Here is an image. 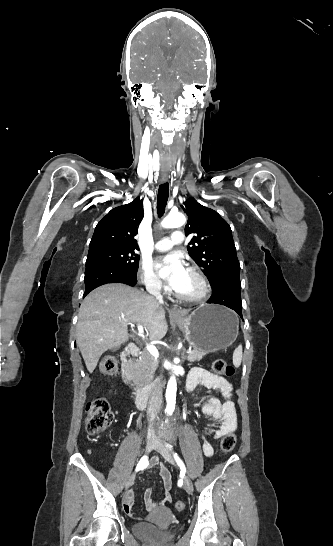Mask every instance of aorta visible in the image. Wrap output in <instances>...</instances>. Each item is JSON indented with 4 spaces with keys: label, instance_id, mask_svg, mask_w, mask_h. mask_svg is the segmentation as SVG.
Listing matches in <instances>:
<instances>
[{
    "label": "aorta",
    "instance_id": "1",
    "mask_svg": "<svg viewBox=\"0 0 333 546\" xmlns=\"http://www.w3.org/2000/svg\"><path fill=\"white\" fill-rule=\"evenodd\" d=\"M186 223V218L182 213H169V215L161 222L164 228H178ZM177 382L174 375L168 381L166 389V412L172 414L175 409Z\"/></svg>",
    "mask_w": 333,
    "mask_h": 546
}]
</instances>
